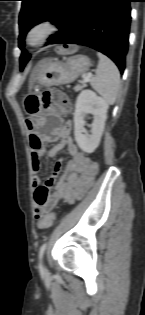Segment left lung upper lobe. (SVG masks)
<instances>
[{
  "label": "left lung upper lobe",
  "instance_id": "5c2ea615",
  "mask_svg": "<svg viewBox=\"0 0 145 315\" xmlns=\"http://www.w3.org/2000/svg\"><path fill=\"white\" fill-rule=\"evenodd\" d=\"M22 8L19 15V42L24 40L26 33L34 25L42 21H50L60 29L65 23L75 0H21ZM55 35H52V39ZM26 53L20 57V70L29 60Z\"/></svg>",
  "mask_w": 145,
  "mask_h": 315
}]
</instances>
